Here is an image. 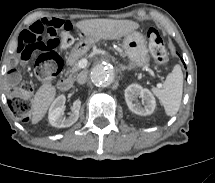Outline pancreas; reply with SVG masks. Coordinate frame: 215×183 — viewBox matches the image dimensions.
<instances>
[{
	"label": "pancreas",
	"instance_id": "obj_1",
	"mask_svg": "<svg viewBox=\"0 0 215 183\" xmlns=\"http://www.w3.org/2000/svg\"><path fill=\"white\" fill-rule=\"evenodd\" d=\"M69 62H70V65L72 66L71 72H72L73 74L77 73V72L80 70V68H79V66H78L79 57L74 58V59H72V60L69 61Z\"/></svg>",
	"mask_w": 215,
	"mask_h": 183
}]
</instances>
